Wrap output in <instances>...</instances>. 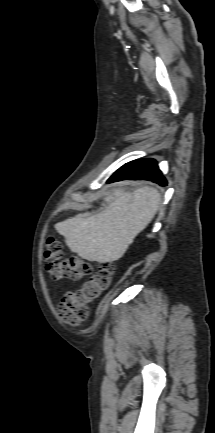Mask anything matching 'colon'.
Masks as SVG:
<instances>
[{
	"instance_id": "obj_1",
	"label": "colon",
	"mask_w": 215,
	"mask_h": 433,
	"mask_svg": "<svg viewBox=\"0 0 215 433\" xmlns=\"http://www.w3.org/2000/svg\"><path fill=\"white\" fill-rule=\"evenodd\" d=\"M44 257L47 270L57 279H80L92 272L91 265L82 258H66L61 242L53 236L46 240ZM112 277V265L102 263L80 289L63 294L58 305V316L73 325L85 321L89 305L110 287Z\"/></svg>"
}]
</instances>
